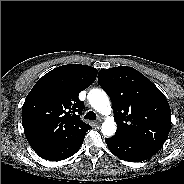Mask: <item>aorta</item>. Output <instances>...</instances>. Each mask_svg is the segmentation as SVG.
<instances>
[{
  "label": "aorta",
  "instance_id": "762f6f07",
  "mask_svg": "<svg viewBox=\"0 0 184 184\" xmlns=\"http://www.w3.org/2000/svg\"><path fill=\"white\" fill-rule=\"evenodd\" d=\"M88 101L90 105L103 115H108L111 112V105L107 94L100 89H92L88 93ZM116 131V123L113 118L107 117L101 127V132L104 136L110 137Z\"/></svg>",
  "mask_w": 184,
  "mask_h": 184
}]
</instances>
